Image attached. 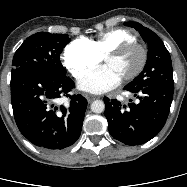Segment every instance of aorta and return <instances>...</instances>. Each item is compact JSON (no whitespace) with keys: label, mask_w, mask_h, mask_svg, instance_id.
Returning <instances> with one entry per match:
<instances>
[{"label":"aorta","mask_w":187,"mask_h":187,"mask_svg":"<svg viewBox=\"0 0 187 187\" xmlns=\"http://www.w3.org/2000/svg\"><path fill=\"white\" fill-rule=\"evenodd\" d=\"M105 110V104L102 100H95L91 104V111L94 113H102Z\"/></svg>","instance_id":"1"}]
</instances>
